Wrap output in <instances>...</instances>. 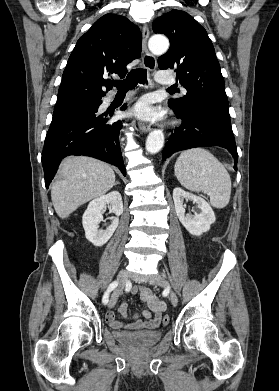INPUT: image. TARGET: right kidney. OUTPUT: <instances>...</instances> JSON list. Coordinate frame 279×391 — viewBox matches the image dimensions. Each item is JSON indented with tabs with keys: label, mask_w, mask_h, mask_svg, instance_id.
<instances>
[{
	"label": "right kidney",
	"mask_w": 279,
	"mask_h": 391,
	"mask_svg": "<svg viewBox=\"0 0 279 391\" xmlns=\"http://www.w3.org/2000/svg\"><path fill=\"white\" fill-rule=\"evenodd\" d=\"M106 205H110L111 211L116 215L105 230L99 229V223L103 221V211ZM123 213V202L118 191H112L106 195L92 200L82 217L85 236L95 246H103L113 235L118 227L119 216Z\"/></svg>",
	"instance_id": "1"
}]
</instances>
